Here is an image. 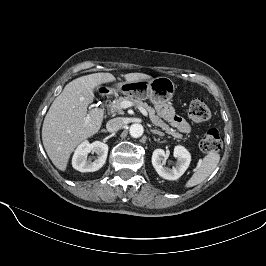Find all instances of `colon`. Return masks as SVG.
Masks as SVG:
<instances>
[{"instance_id": "1", "label": "colon", "mask_w": 266, "mask_h": 266, "mask_svg": "<svg viewBox=\"0 0 266 266\" xmlns=\"http://www.w3.org/2000/svg\"><path fill=\"white\" fill-rule=\"evenodd\" d=\"M190 119L195 123H203L210 119L211 111L209 107L200 99L191 101L188 109ZM222 146L220 134L217 129H208L200 140V148L203 152H215Z\"/></svg>"}]
</instances>
